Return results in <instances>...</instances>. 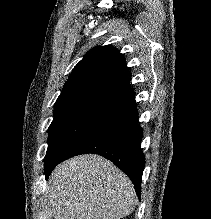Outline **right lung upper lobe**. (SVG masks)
Here are the masks:
<instances>
[{
	"instance_id": "obj_1",
	"label": "right lung upper lobe",
	"mask_w": 211,
	"mask_h": 219,
	"mask_svg": "<svg viewBox=\"0 0 211 219\" xmlns=\"http://www.w3.org/2000/svg\"><path fill=\"white\" fill-rule=\"evenodd\" d=\"M130 78L126 61L116 48L95 47L74 67L55 104L87 98L120 107L134 99Z\"/></svg>"
}]
</instances>
